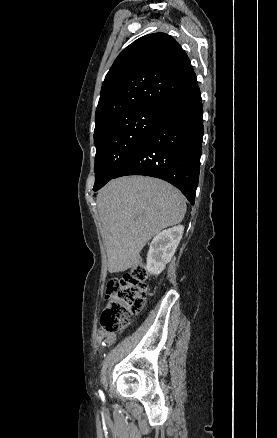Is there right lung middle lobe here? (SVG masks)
<instances>
[{
  "mask_svg": "<svg viewBox=\"0 0 277 438\" xmlns=\"http://www.w3.org/2000/svg\"><path fill=\"white\" fill-rule=\"evenodd\" d=\"M162 110L114 115L96 122L95 185L104 186L142 145Z\"/></svg>",
  "mask_w": 277,
  "mask_h": 438,
  "instance_id": "1",
  "label": "right lung middle lobe"
}]
</instances>
